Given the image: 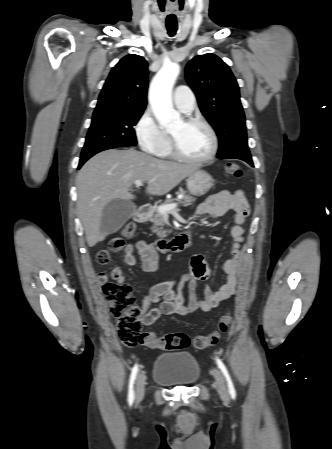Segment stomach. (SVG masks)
<instances>
[{
	"instance_id": "0dacf381",
	"label": "stomach",
	"mask_w": 332,
	"mask_h": 449,
	"mask_svg": "<svg viewBox=\"0 0 332 449\" xmlns=\"http://www.w3.org/2000/svg\"><path fill=\"white\" fill-rule=\"evenodd\" d=\"M186 181L190 194L194 196L205 195L214 185L211 175L200 169L190 174Z\"/></svg>"
}]
</instances>
